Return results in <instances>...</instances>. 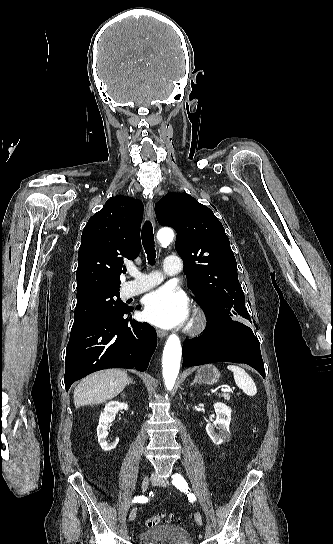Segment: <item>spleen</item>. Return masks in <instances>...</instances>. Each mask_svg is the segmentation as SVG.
<instances>
[{
    "label": "spleen",
    "instance_id": "obj_1",
    "mask_svg": "<svg viewBox=\"0 0 333 544\" xmlns=\"http://www.w3.org/2000/svg\"><path fill=\"white\" fill-rule=\"evenodd\" d=\"M227 369L233 372L236 385L243 390L248 396H254L257 392L255 383L247 372L236 365H228Z\"/></svg>",
    "mask_w": 333,
    "mask_h": 544
}]
</instances>
